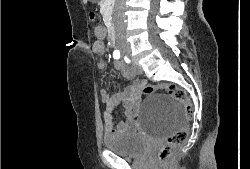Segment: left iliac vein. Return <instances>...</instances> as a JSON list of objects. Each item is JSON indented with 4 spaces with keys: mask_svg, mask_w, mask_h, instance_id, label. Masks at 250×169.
<instances>
[{
    "mask_svg": "<svg viewBox=\"0 0 250 169\" xmlns=\"http://www.w3.org/2000/svg\"><path fill=\"white\" fill-rule=\"evenodd\" d=\"M129 73L140 74L142 72L141 67L136 61L132 62L128 69Z\"/></svg>",
    "mask_w": 250,
    "mask_h": 169,
    "instance_id": "obj_1",
    "label": "left iliac vein"
}]
</instances>
